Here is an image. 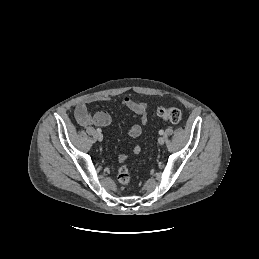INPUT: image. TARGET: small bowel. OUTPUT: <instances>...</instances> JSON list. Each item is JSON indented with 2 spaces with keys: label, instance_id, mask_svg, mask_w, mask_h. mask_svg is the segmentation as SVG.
<instances>
[{
  "label": "small bowel",
  "instance_id": "1",
  "mask_svg": "<svg viewBox=\"0 0 259 259\" xmlns=\"http://www.w3.org/2000/svg\"><path fill=\"white\" fill-rule=\"evenodd\" d=\"M97 101H109L116 102L110 97H101V96H89L80 101L75 108V116L77 120L83 125H95L100 127H107L111 123V117L107 112L99 111L94 115L90 114L88 111V105ZM120 105L131 110L133 113L140 116L142 124H146L148 121L146 113V104L144 102L135 101L128 97H125L121 100ZM141 126L138 124L133 125L129 131L128 135L132 138H136L141 134ZM134 153L140 152V147L135 145L133 147ZM126 155H120L118 160L123 162L126 159Z\"/></svg>",
  "mask_w": 259,
  "mask_h": 259
}]
</instances>
